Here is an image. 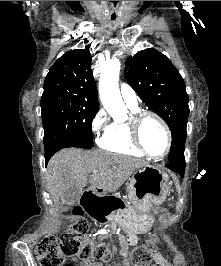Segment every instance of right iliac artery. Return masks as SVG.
I'll use <instances>...</instances> for the list:
<instances>
[{"label":"right iliac artery","mask_w":221,"mask_h":266,"mask_svg":"<svg viewBox=\"0 0 221 266\" xmlns=\"http://www.w3.org/2000/svg\"><path fill=\"white\" fill-rule=\"evenodd\" d=\"M98 233H100V231H99ZM101 233H103V234H104V231H101Z\"/></svg>","instance_id":"obj_1"}]
</instances>
